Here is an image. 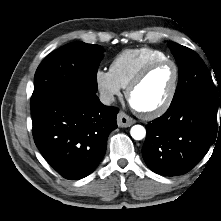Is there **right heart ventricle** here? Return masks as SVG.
I'll list each match as a JSON object with an SVG mask.
<instances>
[{
	"label": "right heart ventricle",
	"mask_w": 221,
	"mask_h": 221,
	"mask_svg": "<svg viewBox=\"0 0 221 221\" xmlns=\"http://www.w3.org/2000/svg\"><path fill=\"white\" fill-rule=\"evenodd\" d=\"M165 58L163 52L149 47L126 49L112 60L110 72L121 88H126L146 64Z\"/></svg>",
	"instance_id": "obj_1"
}]
</instances>
